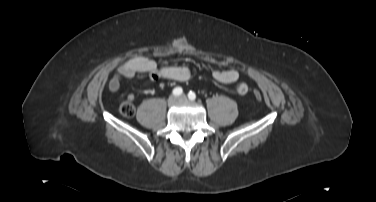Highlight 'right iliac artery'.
Segmentation results:
<instances>
[{
  "label": "right iliac artery",
  "mask_w": 376,
  "mask_h": 202,
  "mask_svg": "<svg viewBox=\"0 0 376 202\" xmlns=\"http://www.w3.org/2000/svg\"><path fill=\"white\" fill-rule=\"evenodd\" d=\"M172 93H173L174 96H179L183 93V90H182L181 87H176V88L173 89Z\"/></svg>",
  "instance_id": "1"
}]
</instances>
